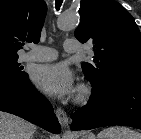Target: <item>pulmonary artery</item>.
I'll return each instance as SVG.
<instances>
[{"label":"pulmonary artery","instance_id":"pulmonary-artery-1","mask_svg":"<svg viewBox=\"0 0 141 139\" xmlns=\"http://www.w3.org/2000/svg\"><path fill=\"white\" fill-rule=\"evenodd\" d=\"M80 46L75 40H66L64 42V50L67 53H75L79 51ZM57 51L53 48L44 46H33L32 49L25 55V59L33 62L52 61L57 58Z\"/></svg>","mask_w":141,"mask_h":139}]
</instances>
